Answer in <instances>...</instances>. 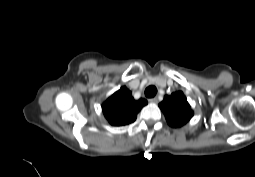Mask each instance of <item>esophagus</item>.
<instances>
[{
	"label": "esophagus",
	"mask_w": 255,
	"mask_h": 177,
	"mask_svg": "<svg viewBox=\"0 0 255 177\" xmlns=\"http://www.w3.org/2000/svg\"><path fill=\"white\" fill-rule=\"evenodd\" d=\"M149 101L152 103H157L158 99H157V97H154V98H151Z\"/></svg>",
	"instance_id": "1"
}]
</instances>
